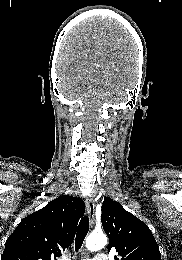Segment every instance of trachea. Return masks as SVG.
Segmentation results:
<instances>
[{
    "label": "trachea",
    "mask_w": 182,
    "mask_h": 260,
    "mask_svg": "<svg viewBox=\"0 0 182 260\" xmlns=\"http://www.w3.org/2000/svg\"><path fill=\"white\" fill-rule=\"evenodd\" d=\"M89 230V218L88 216H84L79 223L76 239H75V251L78 252V250L82 247L84 239L88 233Z\"/></svg>",
    "instance_id": "1"
}]
</instances>
